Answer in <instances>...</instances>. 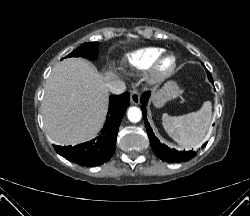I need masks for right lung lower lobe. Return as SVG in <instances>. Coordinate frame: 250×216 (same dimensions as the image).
I'll return each instance as SVG.
<instances>
[{
  "instance_id": "obj_1",
  "label": "right lung lower lobe",
  "mask_w": 250,
  "mask_h": 216,
  "mask_svg": "<svg viewBox=\"0 0 250 216\" xmlns=\"http://www.w3.org/2000/svg\"><path fill=\"white\" fill-rule=\"evenodd\" d=\"M130 104L128 92L110 97L109 112L100 135L76 146H54L56 152L81 166H98L108 161L115 151L116 137L123 114Z\"/></svg>"
}]
</instances>
